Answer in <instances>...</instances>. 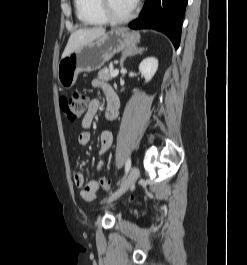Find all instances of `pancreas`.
I'll use <instances>...</instances> for the list:
<instances>
[{
  "label": "pancreas",
  "mask_w": 247,
  "mask_h": 265,
  "mask_svg": "<svg viewBox=\"0 0 247 265\" xmlns=\"http://www.w3.org/2000/svg\"><path fill=\"white\" fill-rule=\"evenodd\" d=\"M113 69L111 68H103L98 72V79L99 80H105L108 81L110 79H112L111 73H112Z\"/></svg>",
  "instance_id": "obj_1"
}]
</instances>
